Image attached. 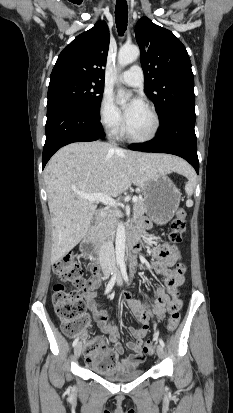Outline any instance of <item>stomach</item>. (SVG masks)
Masks as SVG:
<instances>
[{
    "instance_id": "1",
    "label": "stomach",
    "mask_w": 233,
    "mask_h": 413,
    "mask_svg": "<svg viewBox=\"0 0 233 413\" xmlns=\"http://www.w3.org/2000/svg\"><path fill=\"white\" fill-rule=\"evenodd\" d=\"M147 215L158 225L170 221L178 210L181 193L166 175L158 174L141 186Z\"/></svg>"
}]
</instances>
